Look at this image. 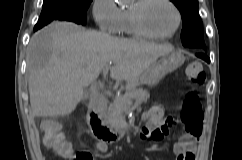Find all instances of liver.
I'll list each match as a JSON object with an SVG mask.
<instances>
[{
	"instance_id": "liver-1",
	"label": "liver",
	"mask_w": 242,
	"mask_h": 160,
	"mask_svg": "<svg viewBox=\"0 0 242 160\" xmlns=\"http://www.w3.org/2000/svg\"><path fill=\"white\" fill-rule=\"evenodd\" d=\"M174 51L156 44L87 31L71 22H54L36 32L27 51L32 113L37 117L69 115L84 88L113 64L110 77L133 82L160 57Z\"/></svg>"
}]
</instances>
